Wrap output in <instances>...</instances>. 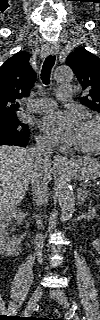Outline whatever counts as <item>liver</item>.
Here are the masks:
<instances>
[{
    "mask_svg": "<svg viewBox=\"0 0 100 320\" xmlns=\"http://www.w3.org/2000/svg\"><path fill=\"white\" fill-rule=\"evenodd\" d=\"M35 169V159L29 149L17 146L0 147V207L1 211L16 208L24 198ZM52 179L51 163L48 165Z\"/></svg>",
    "mask_w": 100,
    "mask_h": 320,
    "instance_id": "1",
    "label": "liver"
}]
</instances>
